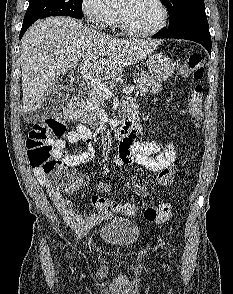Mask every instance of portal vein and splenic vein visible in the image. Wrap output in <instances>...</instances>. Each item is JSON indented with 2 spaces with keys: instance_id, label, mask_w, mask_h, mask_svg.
I'll use <instances>...</instances> for the list:
<instances>
[{
  "instance_id": "18ae733b",
  "label": "portal vein and splenic vein",
  "mask_w": 233,
  "mask_h": 294,
  "mask_svg": "<svg viewBox=\"0 0 233 294\" xmlns=\"http://www.w3.org/2000/svg\"><path fill=\"white\" fill-rule=\"evenodd\" d=\"M90 65V61H84L81 63L79 69L81 75L83 76V79L87 82V84L93 87L96 92L104 95L105 97H112L113 93L109 89V87L88 73ZM134 89V86L124 88L123 93H125L126 95H130L134 91Z\"/></svg>"
}]
</instances>
